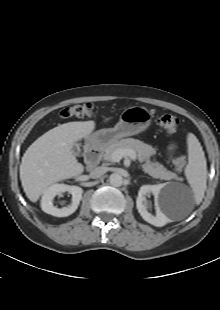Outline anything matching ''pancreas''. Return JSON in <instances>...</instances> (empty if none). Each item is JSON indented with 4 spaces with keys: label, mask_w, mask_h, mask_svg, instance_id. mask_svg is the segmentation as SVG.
Instances as JSON below:
<instances>
[{
    "label": "pancreas",
    "mask_w": 220,
    "mask_h": 310,
    "mask_svg": "<svg viewBox=\"0 0 220 310\" xmlns=\"http://www.w3.org/2000/svg\"><path fill=\"white\" fill-rule=\"evenodd\" d=\"M118 149H132L136 153L139 161L145 162L142 164L143 171L154 178L161 180H171L177 178L175 173L167 170L163 165L158 162L150 161V157L155 154L154 148L133 138L121 139L107 146L104 149V160L111 162L112 154Z\"/></svg>",
    "instance_id": "obj_1"
}]
</instances>
